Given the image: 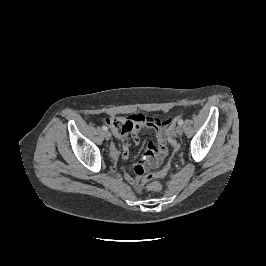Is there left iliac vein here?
Listing matches in <instances>:
<instances>
[{
  "mask_svg": "<svg viewBox=\"0 0 266 266\" xmlns=\"http://www.w3.org/2000/svg\"><path fill=\"white\" fill-rule=\"evenodd\" d=\"M176 134H178V135H182L183 134V128H182V126L181 125H178L177 127H176Z\"/></svg>",
  "mask_w": 266,
  "mask_h": 266,
  "instance_id": "4c4485c4",
  "label": "left iliac vein"
}]
</instances>
